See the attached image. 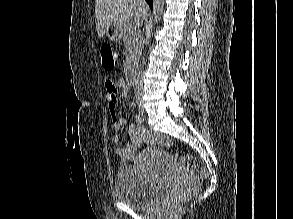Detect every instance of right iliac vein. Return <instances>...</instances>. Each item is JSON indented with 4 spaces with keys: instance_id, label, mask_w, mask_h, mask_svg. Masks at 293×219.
Here are the masks:
<instances>
[{
    "instance_id": "right-iliac-vein-1",
    "label": "right iliac vein",
    "mask_w": 293,
    "mask_h": 219,
    "mask_svg": "<svg viewBox=\"0 0 293 219\" xmlns=\"http://www.w3.org/2000/svg\"><path fill=\"white\" fill-rule=\"evenodd\" d=\"M138 106H139V108L141 109V111L144 112L143 105H142L141 102L138 103Z\"/></svg>"
}]
</instances>
